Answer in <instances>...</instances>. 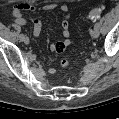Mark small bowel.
I'll return each mask as SVG.
<instances>
[{
  "mask_svg": "<svg viewBox=\"0 0 119 119\" xmlns=\"http://www.w3.org/2000/svg\"><path fill=\"white\" fill-rule=\"evenodd\" d=\"M56 8H59L61 12L64 14V19L62 21V35L64 37L63 41L54 43L51 45V50L56 53H61L65 50V48L70 44L69 36H70V9L66 4L59 5L58 3H48L43 6H37L30 3H21L14 7L13 9V17L14 22L18 25H26L27 20L24 18L23 13L26 11L35 12L38 10L43 11H52ZM33 34L35 37H39L41 30H42V22L34 18L31 20ZM50 74L55 73L54 68L49 69Z\"/></svg>",
  "mask_w": 119,
  "mask_h": 119,
  "instance_id": "obj_1",
  "label": "small bowel"
}]
</instances>
